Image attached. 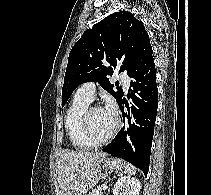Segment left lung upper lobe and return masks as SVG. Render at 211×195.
<instances>
[{
    "instance_id": "1",
    "label": "left lung upper lobe",
    "mask_w": 211,
    "mask_h": 195,
    "mask_svg": "<svg viewBox=\"0 0 211 195\" xmlns=\"http://www.w3.org/2000/svg\"><path fill=\"white\" fill-rule=\"evenodd\" d=\"M149 35L141 21L127 11L110 14L86 30L70 51L62 88V106L82 83L98 82L118 105L123 91L109 82L115 68L132 78L152 59ZM117 86V84H115Z\"/></svg>"
}]
</instances>
